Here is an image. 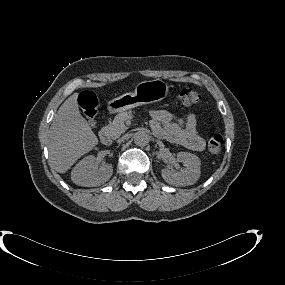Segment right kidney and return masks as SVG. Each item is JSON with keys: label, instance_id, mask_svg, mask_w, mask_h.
Instances as JSON below:
<instances>
[{"label": "right kidney", "instance_id": "right-kidney-1", "mask_svg": "<svg viewBox=\"0 0 285 285\" xmlns=\"http://www.w3.org/2000/svg\"><path fill=\"white\" fill-rule=\"evenodd\" d=\"M95 163L96 158L93 155L80 160L71 172L72 181L85 187L99 186L108 181L113 173L112 164H103L97 168Z\"/></svg>", "mask_w": 285, "mask_h": 285}]
</instances>
